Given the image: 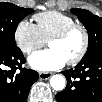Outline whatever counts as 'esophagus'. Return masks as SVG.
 Wrapping results in <instances>:
<instances>
[{
  "label": "esophagus",
  "instance_id": "34e87169",
  "mask_svg": "<svg viewBox=\"0 0 102 102\" xmlns=\"http://www.w3.org/2000/svg\"><path fill=\"white\" fill-rule=\"evenodd\" d=\"M51 76H52V73H49V72H40V73H39V78H40L41 80H47V79H49Z\"/></svg>",
  "mask_w": 102,
  "mask_h": 102
}]
</instances>
